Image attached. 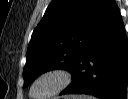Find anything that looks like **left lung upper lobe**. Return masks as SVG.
<instances>
[{
    "label": "left lung upper lobe",
    "mask_w": 128,
    "mask_h": 99,
    "mask_svg": "<svg viewBox=\"0 0 128 99\" xmlns=\"http://www.w3.org/2000/svg\"><path fill=\"white\" fill-rule=\"evenodd\" d=\"M109 0H53L35 28L23 69L24 87L42 73L70 70Z\"/></svg>",
    "instance_id": "left-lung-upper-lobe-1"
}]
</instances>
